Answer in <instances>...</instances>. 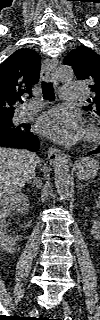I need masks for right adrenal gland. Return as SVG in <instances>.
<instances>
[{"label": "right adrenal gland", "instance_id": "2a0ac1e0", "mask_svg": "<svg viewBox=\"0 0 100 320\" xmlns=\"http://www.w3.org/2000/svg\"><path fill=\"white\" fill-rule=\"evenodd\" d=\"M27 183L33 184V186H35L36 189H39L41 187V180L39 179V177H36L35 175L33 176L32 180H29Z\"/></svg>", "mask_w": 100, "mask_h": 320}]
</instances>
